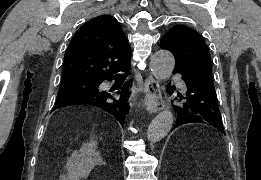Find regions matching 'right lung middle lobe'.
<instances>
[{
	"mask_svg": "<svg viewBox=\"0 0 261 180\" xmlns=\"http://www.w3.org/2000/svg\"><path fill=\"white\" fill-rule=\"evenodd\" d=\"M100 83V81L93 80L61 81L56 102L76 94H94L98 91V86Z\"/></svg>",
	"mask_w": 261,
	"mask_h": 180,
	"instance_id": "right-lung-middle-lobe-1",
	"label": "right lung middle lobe"
}]
</instances>
